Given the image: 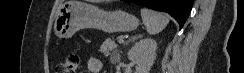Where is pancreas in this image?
I'll use <instances>...</instances> for the list:
<instances>
[{"label":"pancreas","instance_id":"1","mask_svg":"<svg viewBox=\"0 0 244 73\" xmlns=\"http://www.w3.org/2000/svg\"><path fill=\"white\" fill-rule=\"evenodd\" d=\"M117 45L115 44L114 41L107 39L103 42V44L100 47V52L104 55V56H111L114 51H116Z\"/></svg>","mask_w":244,"mask_h":73}]
</instances>
